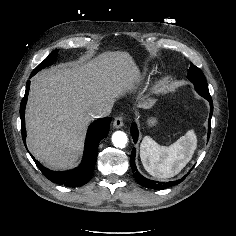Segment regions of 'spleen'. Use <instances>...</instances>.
<instances>
[{
	"mask_svg": "<svg viewBox=\"0 0 236 236\" xmlns=\"http://www.w3.org/2000/svg\"><path fill=\"white\" fill-rule=\"evenodd\" d=\"M196 147L197 137L193 130L187 131L170 146H161L145 136L140 145V158L149 174L166 179L177 175L186 166Z\"/></svg>",
	"mask_w": 236,
	"mask_h": 236,
	"instance_id": "1",
	"label": "spleen"
}]
</instances>
